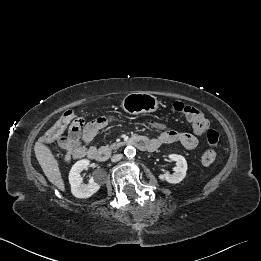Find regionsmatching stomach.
<instances>
[{
	"instance_id": "stomach-1",
	"label": "stomach",
	"mask_w": 261,
	"mask_h": 261,
	"mask_svg": "<svg viewBox=\"0 0 261 261\" xmlns=\"http://www.w3.org/2000/svg\"><path fill=\"white\" fill-rule=\"evenodd\" d=\"M158 105L157 98L149 93H129L121 102V108L133 115L155 112Z\"/></svg>"
}]
</instances>
